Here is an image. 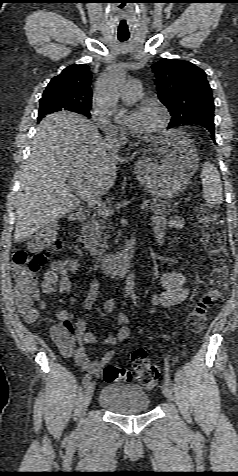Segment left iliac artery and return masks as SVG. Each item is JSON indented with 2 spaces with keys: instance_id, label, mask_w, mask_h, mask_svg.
Returning <instances> with one entry per match:
<instances>
[{
  "instance_id": "1",
  "label": "left iliac artery",
  "mask_w": 238,
  "mask_h": 476,
  "mask_svg": "<svg viewBox=\"0 0 238 476\" xmlns=\"http://www.w3.org/2000/svg\"><path fill=\"white\" fill-rule=\"evenodd\" d=\"M165 362H166V363H165V365H166V368H165V370H166V373H165V382L173 389V384H172V381L170 380L169 373H168V371H169L168 369H169V368H168V361H167V359H165Z\"/></svg>"
}]
</instances>
